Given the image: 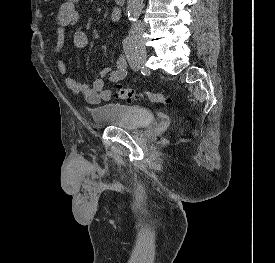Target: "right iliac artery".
<instances>
[{"mask_svg":"<svg viewBox=\"0 0 275 263\" xmlns=\"http://www.w3.org/2000/svg\"><path fill=\"white\" fill-rule=\"evenodd\" d=\"M123 48L131 68L135 71L139 70L140 62L138 58L137 48L134 45L133 39L130 35L123 40Z\"/></svg>","mask_w":275,"mask_h":263,"instance_id":"obj_1","label":"right iliac artery"}]
</instances>
